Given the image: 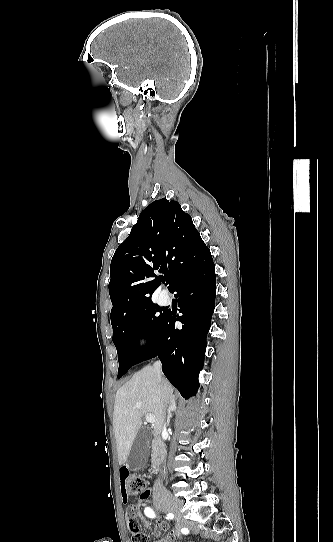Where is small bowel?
<instances>
[{
	"label": "small bowel",
	"mask_w": 333,
	"mask_h": 542,
	"mask_svg": "<svg viewBox=\"0 0 333 542\" xmlns=\"http://www.w3.org/2000/svg\"><path fill=\"white\" fill-rule=\"evenodd\" d=\"M127 472L128 471L126 467L123 466L120 468L119 477L122 483V500L124 502L127 501V495L123 487L124 480L129 479V474ZM152 493H153L152 489L150 488L145 489L142 497L139 498L137 504L129 507L127 510V516L129 518L135 517L141 520L144 526L146 527L150 526V523L147 518V514L141 511V507L145 506V501L148 500L152 496ZM161 531H167L168 534L164 539L160 540V542H175L176 539H178L179 537L185 534V528L182 527L181 525H176L175 527L171 528L169 524L165 522H162L158 525V529L155 533L159 534Z\"/></svg>",
	"instance_id": "obj_1"
}]
</instances>
